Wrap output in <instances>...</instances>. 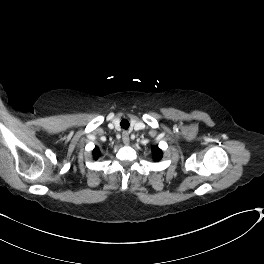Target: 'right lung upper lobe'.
<instances>
[{
	"label": "right lung upper lobe",
	"instance_id": "1",
	"mask_svg": "<svg viewBox=\"0 0 264 264\" xmlns=\"http://www.w3.org/2000/svg\"><path fill=\"white\" fill-rule=\"evenodd\" d=\"M93 155H94V159H98L99 155H100V151H99V148L96 147L94 150H93Z\"/></svg>",
	"mask_w": 264,
	"mask_h": 264
}]
</instances>
